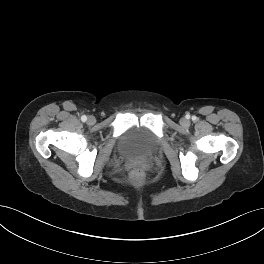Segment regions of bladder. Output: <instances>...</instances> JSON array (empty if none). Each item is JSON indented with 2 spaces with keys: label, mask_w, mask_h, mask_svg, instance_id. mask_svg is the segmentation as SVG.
Wrapping results in <instances>:
<instances>
[{
  "label": "bladder",
  "mask_w": 264,
  "mask_h": 264,
  "mask_svg": "<svg viewBox=\"0 0 264 264\" xmlns=\"http://www.w3.org/2000/svg\"><path fill=\"white\" fill-rule=\"evenodd\" d=\"M159 149L158 138L148 129L134 128L125 132L116 145V154L122 159L149 158Z\"/></svg>",
  "instance_id": "bladder-1"
}]
</instances>
